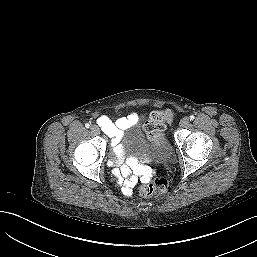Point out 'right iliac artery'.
Wrapping results in <instances>:
<instances>
[{"label": "right iliac artery", "instance_id": "1", "mask_svg": "<svg viewBox=\"0 0 257 257\" xmlns=\"http://www.w3.org/2000/svg\"><path fill=\"white\" fill-rule=\"evenodd\" d=\"M85 127H86V128H89V127H90V124H89V123H86V124H85Z\"/></svg>", "mask_w": 257, "mask_h": 257}]
</instances>
